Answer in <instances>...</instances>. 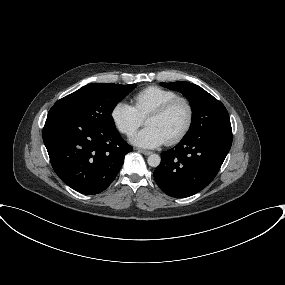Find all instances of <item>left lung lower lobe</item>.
<instances>
[{"label":"left lung lower lobe","mask_w":285,"mask_h":285,"mask_svg":"<svg viewBox=\"0 0 285 285\" xmlns=\"http://www.w3.org/2000/svg\"><path fill=\"white\" fill-rule=\"evenodd\" d=\"M232 144V131L210 130L184 136L161 154L154 171L160 189L169 196L184 198L205 188L217 175Z\"/></svg>","instance_id":"0a47b994"}]
</instances>
